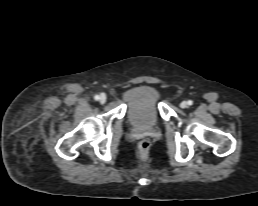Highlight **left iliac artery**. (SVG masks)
Returning <instances> with one entry per match:
<instances>
[{
  "instance_id": "44dca946",
  "label": "left iliac artery",
  "mask_w": 258,
  "mask_h": 206,
  "mask_svg": "<svg viewBox=\"0 0 258 206\" xmlns=\"http://www.w3.org/2000/svg\"><path fill=\"white\" fill-rule=\"evenodd\" d=\"M192 104H193V101L189 100L188 105H192Z\"/></svg>"
}]
</instances>
